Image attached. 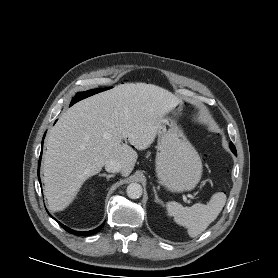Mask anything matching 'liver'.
Segmentation results:
<instances>
[{"label":"liver","mask_w":278,"mask_h":278,"mask_svg":"<svg viewBox=\"0 0 278 278\" xmlns=\"http://www.w3.org/2000/svg\"><path fill=\"white\" fill-rule=\"evenodd\" d=\"M180 100L171 92L146 83H126L88 97L67 109L51 128L44 154L43 182L52 211L69 206L83 183L106 162L122 165L127 177L138 150L156 138L164 116Z\"/></svg>","instance_id":"1"}]
</instances>
